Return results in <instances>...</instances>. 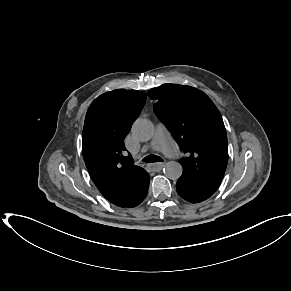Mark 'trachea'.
<instances>
[{"instance_id":"obj_1","label":"trachea","mask_w":291,"mask_h":291,"mask_svg":"<svg viewBox=\"0 0 291 291\" xmlns=\"http://www.w3.org/2000/svg\"><path fill=\"white\" fill-rule=\"evenodd\" d=\"M142 161L146 162V163H153V162H161L163 160L161 157L154 155V154H151V155H148L145 158H143Z\"/></svg>"}]
</instances>
